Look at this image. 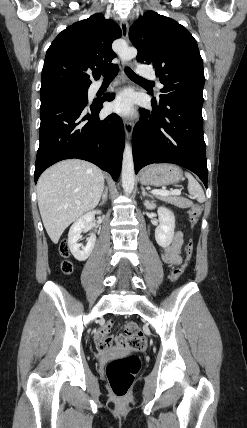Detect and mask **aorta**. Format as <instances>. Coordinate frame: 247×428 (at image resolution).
Masks as SVG:
<instances>
[{
  "mask_svg": "<svg viewBox=\"0 0 247 428\" xmlns=\"http://www.w3.org/2000/svg\"><path fill=\"white\" fill-rule=\"evenodd\" d=\"M118 54L122 62H127L136 57L137 51L125 44L118 50ZM134 182L135 171L132 148L126 143L122 161V187L125 193L130 194L133 191Z\"/></svg>",
  "mask_w": 247,
  "mask_h": 428,
  "instance_id": "1",
  "label": "aorta"
}]
</instances>
